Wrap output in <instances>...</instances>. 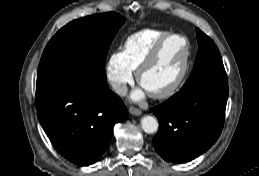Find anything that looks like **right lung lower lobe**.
<instances>
[{
	"instance_id": "right-lung-lower-lobe-1",
	"label": "right lung lower lobe",
	"mask_w": 259,
	"mask_h": 176,
	"mask_svg": "<svg viewBox=\"0 0 259 176\" xmlns=\"http://www.w3.org/2000/svg\"><path fill=\"white\" fill-rule=\"evenodd\" d=\"M35 106L54 148L80 166L98 161L115 123L128 117L122 100L107 85L104 67L78 60L38 70Z\"/></svg>"
}]
</instances>
